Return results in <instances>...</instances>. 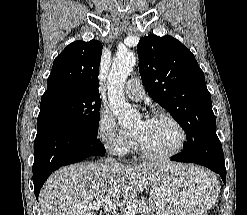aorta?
Masks as SVG:
<instances>
[{"mask_svg": "<svg viewBox=\"0 0 247 215\" xmlns=\"http://www.w3.org/2000/svg\"><path fill=\"white\" fill-rule=\"evenodd\" d=\"M136 64V57L130 52L118 53L108 75V99L110 109L123 128L132 126L139 118V112L126 102L125 82Z\"/></svg>", "mask_w": 247, "mask_h": 215, "instance_id": "aorta-1", "label": "aorta"}]
</instances>
